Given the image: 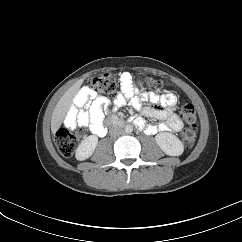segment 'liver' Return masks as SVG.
<instances>
[{
	"label": "liver",
	"instance_id": "liver-1",
	"mask_svg": "<svg viewBox=\"0 0 242 242\" xmlns=\"http://www.w3.org/2000/svg\"><path fill=\"white\" fill-rule=\"evenodd\" d=\"M83 80L78 81L73 87H71L64 96L60 99L52 115L51 130L52 133H56L60 128L62 121L66 115V112L71 105L72 97L81 86Z\"/></svg>",
	"mask_w": 242,
	"mask_h": 242
}]
</instances>
